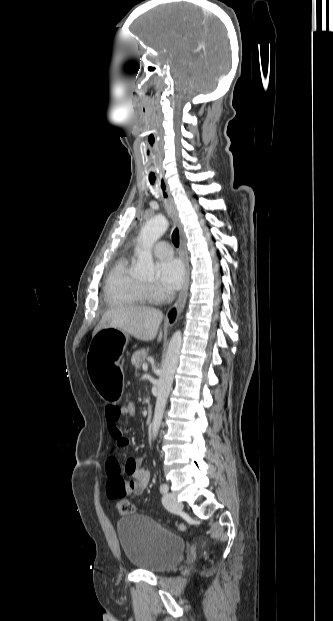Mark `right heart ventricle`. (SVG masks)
Instances as JSON below:
<instances>
[{
  "instance_id": "1",
  "label": "right heart ventricle",
  "mask_w": 333,
  "mask_h": 621,
  "mask_svg": "<svg viewBox=\"0 0 333 621\" xmlns=\"http://www.w3.org/2000/svg\"><path fill=\"white\" fill-rule=\"evenodd\" d=\"M130 262L129 257H122L109 271L104 287L109 304L139 306L150 300L145 284L131 274Z\"/></svg>"
}]
</instances>
